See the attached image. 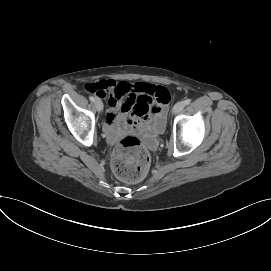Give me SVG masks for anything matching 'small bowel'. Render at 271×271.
<instances>
[{"instance_id": "c3829d8e", "label": "small bowel", "mask_w": 271, "mask_h": 271, "mask_svg": "<svg viewBox=\"0 0 271 271\" xmlns=\"http://www.w3.org/2000/svg\"><path fill=\"white\" fill-rule=\"evenodd\" d=\"M99 84L101 90L97 96H108L104 128L110 140H115L124 128L157 131L164 126L165 108L170 100L166 88L145 82L130 84L114 80L101 81ZM161 93L165 95L164 99Z\"/></svg>"}]
</instances>
